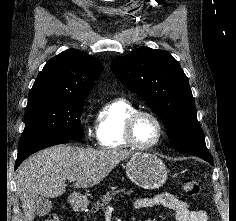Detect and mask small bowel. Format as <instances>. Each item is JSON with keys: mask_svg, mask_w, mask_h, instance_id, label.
I'll return each mask as SVG.
<instances>
[{"mask_svg": "<svg viewBox=\"0 0 236 221\" xmlns=\"http://www.w3.org/2000/svg\"><path fill=\"white\" fill-rule=\"evenodd\" d=\"M137 210L152 207H165L175 212L176 221H208V215L201 209H190L189 205L170 193H161L154 197L138 198L134 202Z\"/></svg>", "mask_w": 236, "mask_h": 221, "instance_id": "c3829d8e", "label": "small bowel"}]
</instances>
